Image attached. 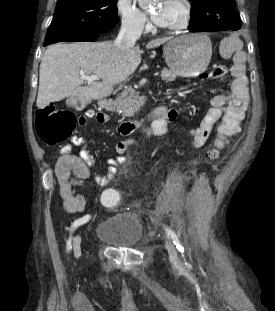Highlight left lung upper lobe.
Wrapping results in <instances>:
<instances>
[{"label": "left lung upper lobe", "instance_id": "1", "mask_svg": "<svg viewBox=\"0 0 275 311\" xmlns=\"http://www.w3.org/2000/svg\"><path fill=\"white\" fill-rule=\"evenodd\" d=\"M190 27L217 26L228 30H238L241 21L233 0H189Z\"/></svg>", "mask_w": 275, "mask_h": 311}]
</instances>
